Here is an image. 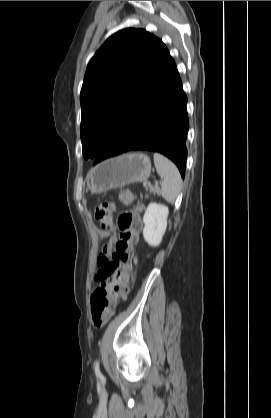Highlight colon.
<instances>
[{
    "label": "colon",
    "mask_w": 271,
    "mask_h": 418,
    "mask_svg": "<svg viewBox=\"0 0 271 418\" xmlns=\"http://www.w3.org/2000/svg\"><path fill=\"white\" fill-rule=\"evenodd\" d=\"M119 198L126 204H131L134 200L133 193L128 188H123L119 192ZM139 207L136 206L131 210L123 211L117 218V225L120 230L118 240L114 245L111 258L101 255L98 258L99 271L97 278L103 282L108 278H115L116 283L113 293L109 292L103 285L98 287L91 298V317L95 327L104 326L111 315V309L114 305V297L119 296L125 298L129 283L123 277L129 275L131 267L129 261V251L137 242L141 222L138 217ZM115 206L112 202H101L94 209L96 221L103 229L112 228V216ZM131 279V277H130Z\"/></svg>",
    "instance_id": "colon-1"
}]
</instances>
